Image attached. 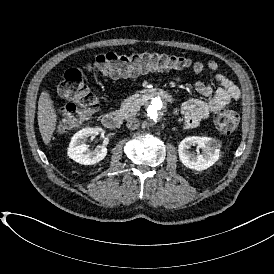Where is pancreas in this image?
<instances>
[{
  "label": "pancreas",
  "instance_id": "cf45deb5",
  "mask_svg": "<svg viewBox=\"0 0 274 274\" xmlns=\"http://www.w3.org/2000/svg\"><path fill=\"white\" fill-rule=\"evenodd\" d=\"M141 105L135 100V96L132 95L128 97L120 106V113L123 119H127L136 114V111H139Z\"/></svg>",
  "mask_w": 274,
  "mask_h": 274
}]
</instances>
